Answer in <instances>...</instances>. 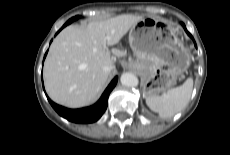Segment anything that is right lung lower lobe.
<instances>
[{"mask_svg": "<svg viewBox=\"0 0 230 155\" xmlns=\"http://www.w3.org/2000/svg\"><path fill=\"white\" fill-rule=\"evenodd\" d=\"M64 25L63 27H65ZM47 54V52H46ZM45 54V56H46ZM45 58V57H44ZM118 78L115 77L107 89L102 94L101 98L97 103L90 107L82 108V109H67L65 107H62L60 105L55 104L52 102L48 97V101L52 105V107L55 109V111L62 117L66 118L69 121L75 122V123H92L97 121L105 112L108 104V97L112 89L115 87L117 83ZM43 82V81H42Z\"/></svg>", "mask_w": 230, "mask_h": 155, "instance_id": "1", "label": "right lung lower lobe"}]
</instances>
